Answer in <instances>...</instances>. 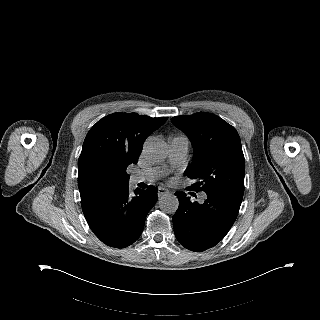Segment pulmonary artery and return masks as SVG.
Wrapping results in <instances>:
<instances>
[{
	"label": "pulmonary artery",
	"instance_id": "obj_1",
	"mask_svg": "<svg viewBox=\"0 0 320 320\" xmlns=\"http://www.w3.org/2000/svg\"><path fill=\"white\" fill-rule=\"evenodd\" d=\"M170 153L169 163L172 166L181 164L186 158L189 151V140L185 136H175L169 139ZM169 168L166 166H160L151 168L148 170L137 171L130 177V182L133 184L140 182H152L156 179L164 176L168 172ZM206 198L205 194L200 196L201 200Z\"/></svg>",
	"mask_w": 320,
	"mask_h": 320
}]
</instances>
